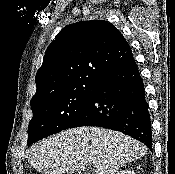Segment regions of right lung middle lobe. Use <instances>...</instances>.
Here are the masks:
<instances>
[{"label": "right lung middle lobe", "mask_w": 175, "mask_h": 174, "mask_svg": "<svg viewBox=\"0 0 175 174\" xmlns=\"http://www.w3.org/2000/svg\"><path fill=\"white\" fill-rule=\"evenodd\" d=\"M95 85L62 92L31 104L33 118L28 126V145L67 129L84 108Z\"/></svg>", "instance_id": "obj_1"}]
</instances>
